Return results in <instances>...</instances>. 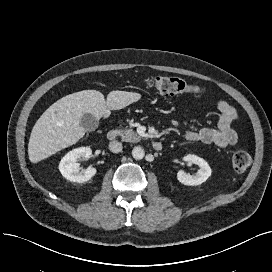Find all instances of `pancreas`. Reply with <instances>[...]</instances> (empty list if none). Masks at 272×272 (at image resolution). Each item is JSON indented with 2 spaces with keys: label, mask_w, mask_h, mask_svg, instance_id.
<instances>
[{
  "label": "pancreas",
  "mask_w": 272,
  "mask_h": 272,
  "mask_svg": "<svg viewBox=\"0 0 272 272\" xmlns=\"http://www.w3.org/2000/svg\"><path fill=\"white\" fill-rule=\"evenodd\" d=\"M119 135L125 142L137 143L141 140V136H139L133 129L120 130Z\"/></svg>",
  "instance_id": "pancreas-1"
}]
</instances>
